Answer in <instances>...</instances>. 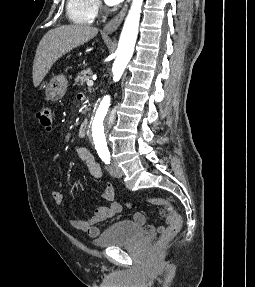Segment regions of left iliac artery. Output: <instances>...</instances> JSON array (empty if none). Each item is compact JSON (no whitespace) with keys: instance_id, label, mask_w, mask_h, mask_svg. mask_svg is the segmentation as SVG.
<instances>
[{"instance_id":"left-iliac-artery-1","label":"left iliac artery","mask_w":255,"mask_h":287,"mask_svg":"<svg viewBox=\"0 0 255 287\" xmlns=\"http://www.w3.org/2000/svg\"><path fill=\"white\" fill-rule=\"evenodd\" d=\"M99 157L102 159V161L105 164H109L110 163V153L107 147H98L96 148Z\"/></svg>"}]
</instances>
